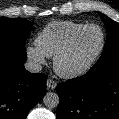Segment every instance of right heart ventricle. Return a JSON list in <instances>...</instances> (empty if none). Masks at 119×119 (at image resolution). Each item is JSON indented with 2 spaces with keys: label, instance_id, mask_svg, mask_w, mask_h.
<instances>
[{
  "label": "right heart ventricle",
  "instance_id": "1",
  "mask_svg": "<svg viewBox=\"0 0 119 119\" xmlns=\"http://www.w3.org/2000/svg\"><path fill=\"white\" fill-rule=\"evenodd\" d=\"M84 25L74 21L50 22L36 38V46L46 57H55L73 33Z\"/></svg>",
  "mask_w": 119,
  "mask_h": 119
}]
</instances>
